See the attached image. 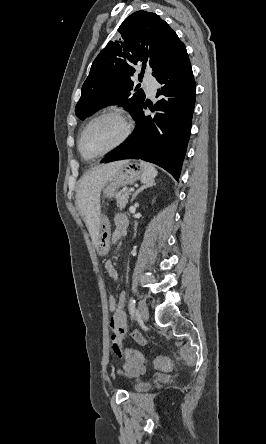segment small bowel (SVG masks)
<instances>
[{
    "label": "small bowel",
    "instance_id": "small-bowel-1",
    "mask_svg": "<svg viewBox=\"0 0 266 444\" xmlns=\"http://www.w3.org/2000/svg\"><path fill=\"white\" fill-rule=\"evenodd\" d=\"M127 229V219L123 214H118L115 217V228L112 235V241L117 242L126 232ZM105 269L109 277L113 280L118 279V272L112 261L108 260L105 263ZM125 302H126V294L121 292L118 298L116 311L110 318V347L114 351V353L120 357L121 359H125V351L122 347L121 341L126 336H129L131 339L143 344L145 343V338L139 331L129 332L128 324H127V313L125 311ZM144 367L140 370H130V372L134 375L139 372H143Z\"/></svg>",
    "mask_w": 266,
    "mask_h": 444
}]
</instances>
